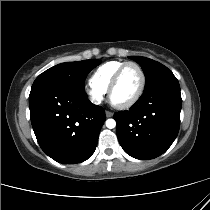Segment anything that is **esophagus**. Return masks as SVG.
<instances>
[{"mask_svg":"<svg viewBox=\"0 0 210 210\" xmlns=\"http://www.w3.org/2000/svg\"><path fill=\"white\" fill-rule=\"evenodd\" d=\"M105 114H106V117L109 118V117H112L113 116V113L110 112V111H105Z\"/></svg>","mask_w":210,"mask_h":210,"instance_id":"esophagus-1","label":"esophagus"}]
</instances>
